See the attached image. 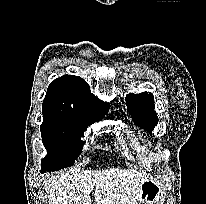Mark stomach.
<instances>
[{
  "label": "stomach",
  "instance_id": "0dacf381",
  "mask_svg": "<svg viewBox=\"0 0 206 204\" xmlns=\"http://www.w3.org/2000/svg\"><path fill=\"white\" fill-rule=\"evenodd\" d=\"M165 191L155 179H146L141 185L135 204H163Z\"/></svg>",
  "mask_w": 206,
  "mask_h": 204
}]
</instances>
